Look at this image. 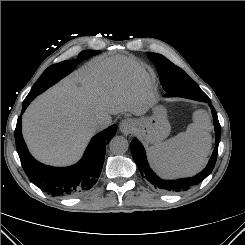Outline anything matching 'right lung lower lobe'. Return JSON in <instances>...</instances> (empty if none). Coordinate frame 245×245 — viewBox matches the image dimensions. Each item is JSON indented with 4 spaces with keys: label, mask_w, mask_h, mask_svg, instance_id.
I'll return each mask as SVG.
<instances>
[{
    "label": "right lung lower lobe",
    "mask_w": 245,
    "mask_h": 245,
    "mask_svg": "<svg viewBox=\"0 0 245 245\" xmlns=\"http://www.w3.org/2000/svg\"><path fill=\"white\" fill-rule=\"evenodd\" d=\"M30 102L28 99L23 101L22 112ZM21 121L19 116L15 129L16 149L21 165L32 183L52 196H75L89 190L96 183L104 163L106 145L115 135L116 125L94 136L77 164L55 168L39 163L31 156L22 137Z\"/></svg>",
    "instance_id": "98d812e1"
}]
</instances>
